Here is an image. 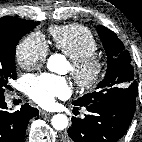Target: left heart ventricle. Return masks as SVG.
Returning <instances> with one entry per match:
<instances>
[{
	"label": "left heart ventricle",
	"mask_w": 142,
	"mask_h": 142,
	"mask_svg": "<svg viewBox=\"0 0 142 142\" xmlns=\"http://www.w3.org/2000/svg\"><path fill=\"white\" fill-rule=\"evenodd\" d=\"M71 69V67H70V65L68 66V70H70Z\"/></svg>",
	"instance_id": "1"
}]
</instances>
